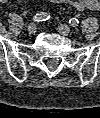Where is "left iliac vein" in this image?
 <instances>
[{
    "instance_id": "1",
    "label": "left iliac vein",
    "mask_w": 100,
    "mask_h": 118,
    "mask_svg": "<svg viewBox=\"0 0 100 118\" xmlns=\"http://www.w3.org/2000/svg\"><path fill=\"white\" fill-rule=\"evenodd\" d=\"M57 30L60 34H62L64 36H67L71 33V28L69 26L63 25V24L59 25L57 27Z\"/></svg>"
}]
</instances>
